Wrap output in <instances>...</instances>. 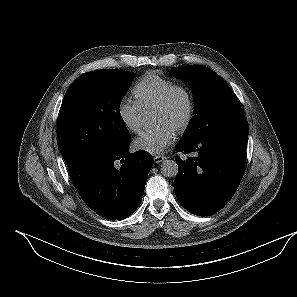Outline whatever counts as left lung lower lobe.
<instances>
[{"instance_id": "0a47b994", "label": "left lung lower lobe", "mask_w": 297, "mask_h": 297, "mask_svg": "<svg viewBox=\"0 0 297 297\" xmlns=\"http://www.w3.org/2000/svg\"><path fill=\"white\" fill-rule=\"evenodd\" d=\"M248 131V122L240 119L176 145L178 152L198 154L187 160L175 157L179 171L174 190L187 211L210 216L233 197L244 174Z\"/></svg>"}]
</instances>
